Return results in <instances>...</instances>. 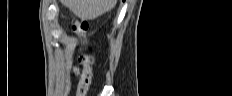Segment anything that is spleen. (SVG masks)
Masks as SVG:
<instances>
[{
	"instance_id": "obj_1",
	"label": "spleen",
	"mask_w": 232,
	"mask_h": 96,
	"mask_svg": "<svg viewBox=\"0 0 232 96\" xmlns=\"http://www.w3.org/2000/svg\"><path fill=\"white\" fill-rule=\"evenodd\" d=\"M64 5L82 20L96 19L111 10L115 0H63Z\"/></svg>"
}]
</instances>
